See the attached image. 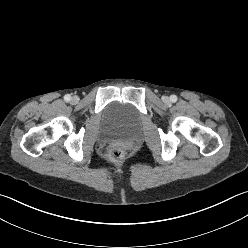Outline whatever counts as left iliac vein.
Returning a JSON list of instances; mask_svg holds the SVG:
<instances>
[{
  "mask_svg": "<svg viewBox=\"0 0 248 248\" xmlns=\"http://www.w3.org/2000/svg\"><path fill=\"white\" fill-rule=\"evenodd\" d=\"M163 101H164L165 103H169L170 99H169V97L165 96V97L163 98Z\"/></svg>",
  "mask_w": 248,
  "mask_h": 248,
  "instance_id": "1",
  "label": "left iliac vein"
}]
</instances>
